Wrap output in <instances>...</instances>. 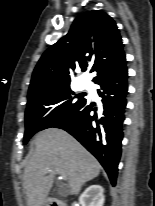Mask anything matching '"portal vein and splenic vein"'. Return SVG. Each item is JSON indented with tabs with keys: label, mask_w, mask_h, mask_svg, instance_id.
Instances as JSON below:
<instances>
[{
	"label": "portal vein and splenic vein",
	"mask_w": 155,
	"mask_h": 206,
	"mask_svg": "<svg viewBox=\"0 0 155 206\" xmlns=\"http://www.w3.org/2000/svg\"><path fill=\"white\" fill-rule=\"evenodd\" d=\"M46 171H48V172H49V171H51V170L47 169ZM57 173H59V174L61 175L60 177H61L62 179H64V180H66V179H67V178H66V176H65L62 172L57 171Z\"/></svg>",
	"instance_id": "1"
}]
</instances>
